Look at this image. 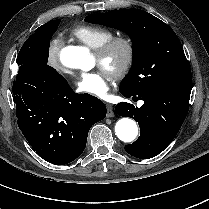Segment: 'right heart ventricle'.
Here are the masks:
<instances>
[{
    "label": "right heart ventricle",
    "mask_w": 209,
    "mask_h": 209,
    "mask_svg": "<svg viewBox=\"0 0 209 209\" xmlns=\"http://www.w3.org/2000/svg\"><path fill=\"white\" fill-rule=\"evenodd\" d=\"M70 34L94 50L98 49L101 45L113 37V33L110 30L104 27L88 24L77 27L72 30Z\"/></svg>",
    "instance_id": "right-heart-ventricle-1"
}]
</instances>
